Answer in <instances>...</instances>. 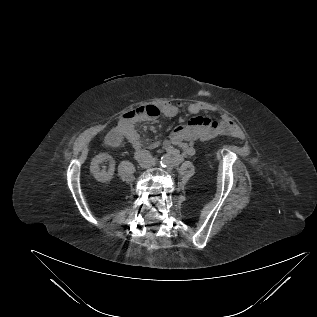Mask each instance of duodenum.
<instances>
[{"label": "duodenum", "instance_id": "duodenum-1", "mask_svg": "<svg viewBox=\"0 0 317 317\" xmlns=\"http://www.w3.org/2000/svg\"><path fill=\"white\" fill-rule=\"evenodd\" d=\"M122 139H123V135L122 134L113 133L108 139V144L111 147H118L120 145ZM134 147H136V146H134ZM136 148H138V147H136Z\"/></svg>", "mask_w": 317, "mask_h": 317}]
</instances>
